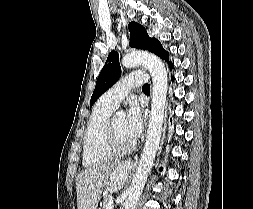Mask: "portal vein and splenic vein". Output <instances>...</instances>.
Instances as JSON below:
<instances>
[{
    "instance_id": "1",
    "label": "portal vein and splenic vein",
    "mask_w": 253,
    "mask_h": 209,
    "mask_svg": "<svg viewBox=\"0 0 253 209\" xmlns=\"http://www.w3.org/2000/svg\"><path fill=\"white\" fill-rule=\"evenodd\" d=\"M112 208H113V197L110 198L107 209H112Z\"/></svg>"
}]
</instances>
